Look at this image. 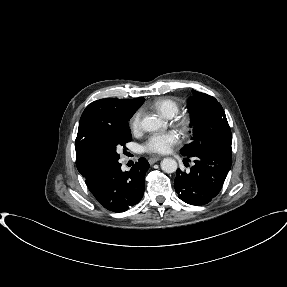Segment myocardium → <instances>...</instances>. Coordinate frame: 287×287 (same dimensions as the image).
I'll return each instance as SVG.
<instances>
[{"label": "myocardium", "mask_w": 287, "mask_h": 287, "mask_svg": "<svg viewBox=\"0 0 287 287\" xmlns=\"http://www.w3.org/2000/svg\"><path fill=\"white\" fill-rule=\"evenodd\" d=\"M180 126L183 128V129H188L189 128V120L188 119H182L180 121Z\"/></svg>", "instance_id": "1"}]
</instances>
